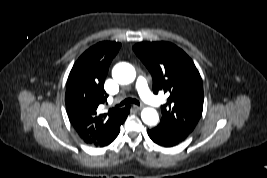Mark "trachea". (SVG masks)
<instances>
[{"label":"trachea","instance_id":"obj_1","mask_svg":"<svg viewBox=\"0 0 267 178\" xmlns=\"http://www.w3.org/2000/svg\"><path fill=\"white\" fill-rule=\"evenodd\" d=\"M128 103H133V104H136V105H139L140 104L137 99L127 98V99H125L124 101H122L120 104H118L116 106H123V105H126Z\"/></svg>","mask_w":267,"mask_h":178}]
</instances>
